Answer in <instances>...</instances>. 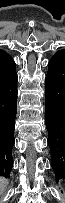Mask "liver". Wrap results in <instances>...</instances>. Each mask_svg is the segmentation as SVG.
<instances>
[{
	"label": "liver",
	"instance_id": "liver-1",
	"mask_svg": "<svg viewBox=\"0 0 65 203\" xmlns=\"http://www.w3.org/2000/svg\"><path fill=\"white\" fill-rule=\"evenodd\" d=\"M7 185V180L1 178L0 180V186H1V190H3Z\"/></svg>",
	"mask_w": 65,
	"mask_h": 203
}]
</instances>
